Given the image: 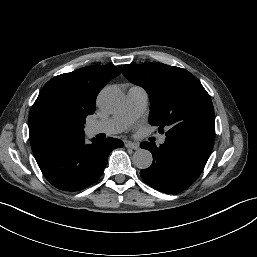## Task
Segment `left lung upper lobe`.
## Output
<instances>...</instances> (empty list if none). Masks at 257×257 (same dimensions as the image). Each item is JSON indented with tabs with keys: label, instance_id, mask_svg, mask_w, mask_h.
<instances>
[{
	"label": "left lung upper lobe",
	"instance_id": "1",
	"mask_svg": "<svg viewBox=\"0 0 257 257\" xmlns=\"http://www.w3.org/2000/svg\"><path fill=\"white\" fill-rule=\"evenodd\" d=\"M123 75L142 86L151 101L149 122L168 131L166 137L185 133H214V108L200 81L185 69L158 62L124 65Z\"/></svg>",
	"mask_w": 257,
	"mask_h": 257
}]
</instances>
